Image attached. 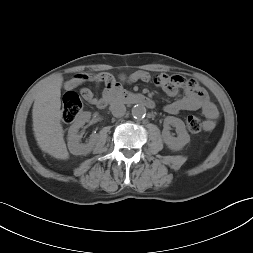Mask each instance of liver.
I'll return each instance as SVG.
<instances>
[{
	"mask_svg": "<svg viewBox=\"0 0 253 253\" xmlns=\"http://www.w3.org/2000/svg\"><path fill=\"white\" fill-rule=\"evenodd\" d=\"M58 76L45 83L36 93L32 109L33 131L40 149L56 159L69 158L61 125V86Z\"/></svg>",
	"mask_w": 253,
	"mask_h": 253,
	"instance_id": "1",
	"label": "liver"
}]
</instances>
